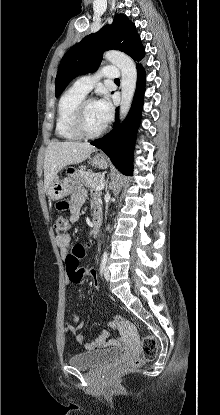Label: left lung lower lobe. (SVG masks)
<instances>
[{"label":"left lung lower lobe","instance_id":"1","mask_svg":"<svg viewBox=\"0 0 220 415\" xmlns=\"http://www.w3.org/2000/svg\"><path fill=\"white\" fill-rule=\"evenodd\" d=\"M137 85L130 112L122 124L118 122V108L113 130L104 137L91 142L110 157L112 163L124 174L132 175L133 152L136 134L140 124L145 91L146 73L143 66L136 64Z\"/></svg>","mask_w":220,"mask_h":415}]
</instances>
